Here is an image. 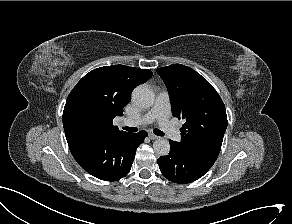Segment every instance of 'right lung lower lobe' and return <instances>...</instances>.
<instances>
[{
	"instance_id": "obj_1",
	"label": "right lung lower lobe",
	"mask_w": 292,
	"mask_h": 224,
	"mask_svg": "<svg viewBox=\"0 0 292 224\" xmlns=\"http://www.w3.org/2000/svg\"><path fill=\"white\" fill-rule=\"evenodd\" d=\"M145 131L124 135H98L68 138L70 151L78 164L92 176L117 181L132 166L137 147L144 142Z\"/></svg>"
}]
</instances>
